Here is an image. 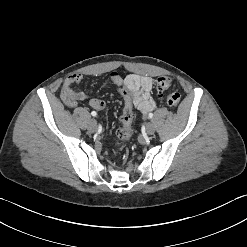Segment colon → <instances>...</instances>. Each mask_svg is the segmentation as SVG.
Instances as JSON below:
<instances>
[{
  "mask_svg": "<svg viewBox=\"0 0 247 247\" xmlns=\"http://www.w3.org/2000/svg\"><path fill=\"white\" fill-rule=\"evenodd\" d=\"M108 81L114 89L122 95V108L121 115L122 126L118 129L117 135L120 140L128 141L134 134L132 126L133 121V95L130 92V85L124 81L123 77L116 72H111L108 75ZM171 86V81L168 77H160L156 81V88L159 92L167 90ZM181 101V96L178 92H170L166 95V102L171 107H176Z\"/></svg>",
  "mask_w": 247,
  "mask_h": 247,
  "instance_id": "1",
  "label": "colon"
}]
</instances>
